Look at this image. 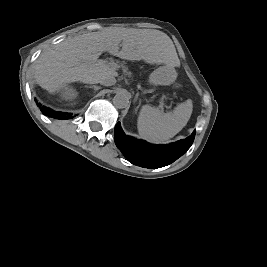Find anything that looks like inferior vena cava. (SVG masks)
Instances as JSON below:
<instances>
[{
	"mask_svg": "<svg viewBox=\"0 0 267 267\" xmlns=\"http://www.w3.org/2000/svg\"><path fill=\"white\" fill-rule=\"evenodd\" d=\"M97 83H100V84H102L104 86H112V85H114L116 83V79L113 76L106 75V76L101 77L97 81Z\"/></svg>",
	"mask_w": 267,
	"mask_h": 267,
	"instance_id": "inferior-vena-cava-1",
	"label": "inferior vena cava"
}]
</instances>
